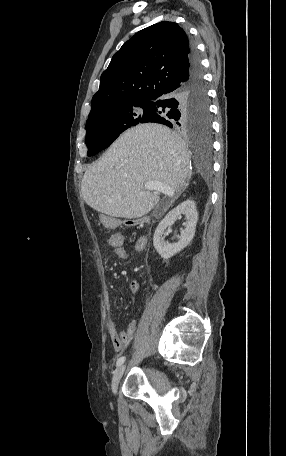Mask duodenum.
Returning <instances> with one entry per match:
<instances>
[{"mask_svg":"<svg viewBox=\"0 0 286 456\" xmlns=\"http://www.w3.org/2000/svg\"><path fill=\"white\" fill-rule=\"evenodd\" d=\"M125 223L128 224L129 226L135 225V221L129 222L128 220H126Z\"/></svg>","mask_w":286,"mask_h":456,"instance_id":"410a0bca","label":"duodenum"}]
</instances>
